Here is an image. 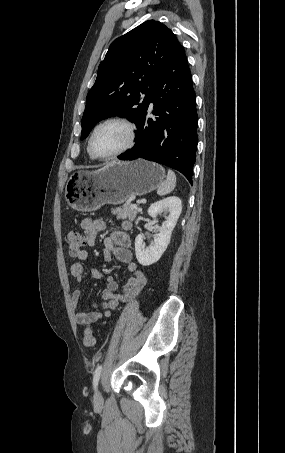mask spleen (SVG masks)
<instances>
[{
  "label": "spleen",
  "instance_id": "obj_1",
  "mask_svg": "<svg viewBox=\"0 0 285 453\" xmlns=\"http://www.w3.org/2000/svg\"><path fill=\"white\" fill-rule=\"evenodd\" d=\"M176 186V175L172 170H168L167 178L160 184L157 194L160 196L169 194Z\"/></svg>",
  "mask_w": 285,
  "mask_h": 453
}]
</instances>
